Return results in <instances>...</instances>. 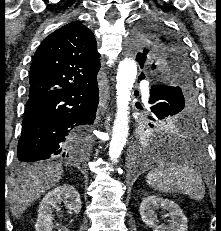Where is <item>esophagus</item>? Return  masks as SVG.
<instances>
[{"label":"esophagus","mask_w":221,"mask_h":231,"mask_svg":"<svg viewBox=\"0 0 221 231\" xmlns=\"http://www.w3.org/2000/svg\"><path fill=\"white\" fill-rule=\"evenodd\" d=\"M100 105L102 108V113H105L108 109L107 98L105 96L101 99Z\"/></svg>","instance_id":"esophagus-1"}]
</instances>
